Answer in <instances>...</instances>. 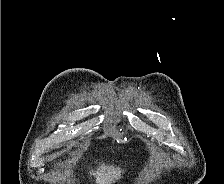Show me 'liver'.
Masks as SVG:
<instances>
[{
  "instance_id": "6515ba94",
  "label": "liver",
  "mask_w": 224,
  "mask_h": 184,
  "mask_svg": "<svg viewBox=\"0 0 224 184\" xmlns=\"http://www.w3.org/2000/svg\"><path fill=\"white\" fill-rule=\"evenodd\" d=\"M122 170L114 166H100L96 172H92L96 178V184H112L121 178Z\"/></svg>"
}]
</instances>
